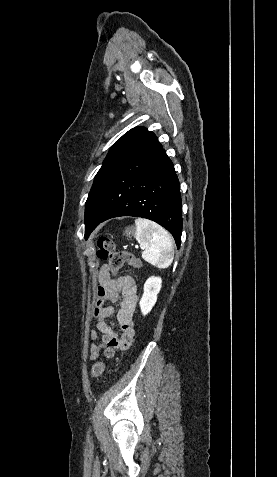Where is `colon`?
I'll return each mask as SVG.
<instances>
[{"mask_svg":"<svg viewBox=\"0 0 277 477\" xmlns=\"http://www.w3.org/2000/svg\"><path fill=\"white\" fill-rule=\"evenodd\" d=\"M97 245V256L100 259L108 261L110 270L115 275L126 265L131 268H140L142 265L141 260L138 259L137 256H134L128 251L118 249L115 244L106 237H100ZM106 355L108 358H111L113 356L112 349H108ZM104 368L105 365L103 362L95 363L91 369L92 376H100L103 373Z\"/></svg>","mask_w":277,"mask_h":477,"instance_id":"1","label":"colon"}]
</instances>
